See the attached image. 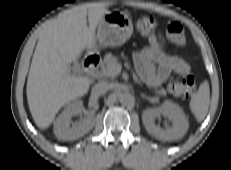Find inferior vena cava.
<instances>
[{"label": "inferior vena cava", "mask_w": 231, "mask_h": 170, "mask_svg": "<svg viewBox=\"0 0 231 170\" xmlns=\"http://www.w3.org/2000/svg\"><path fill=\"white\" fill-rule=\"evenodd\" d=\"M110 89H111V86L109 83L100 82L93 87L92 91L95 95L100 96V95H104L105 93H107Z\"/></svg>", "instance_id": "obj_1"}]
</instances>
